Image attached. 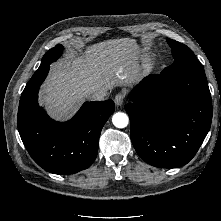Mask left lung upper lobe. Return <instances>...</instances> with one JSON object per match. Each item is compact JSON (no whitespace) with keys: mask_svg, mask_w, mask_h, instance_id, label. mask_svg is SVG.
<instances>
[{"mask_svg":"<svg viewBox=\"0 0 221 221\" xmlns=\"http://www.w3.org/2000/svg\"><path fill=\"white\" fill-rule=\"evenodd\" d=\"M169 46L171 47L172 54L174 56V62L183 59L195 58L194 53L186 45L181 44L175 40H167Z\"/></svg>","mask_w":221,"mask_h":221,"instance_id":"left-lung-upper-lobe-1","label":"left lung upper lobe"}]
</instances>
